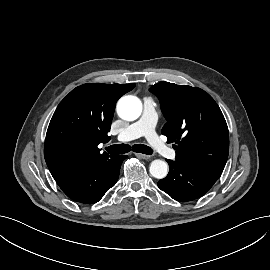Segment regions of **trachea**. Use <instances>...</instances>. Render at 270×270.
Returning <instances> with one entry per match:
<instances>
[{
  "label": "trachea",
  "mask_w": 270,
  "mask_h": 270,
  "mask_svg": "<svg viewBox=\"0 0 270 270\" xmlns=\"http://www.w3.org/2000/svg\"><path fill=\"white\" fill-rule=\"evenodd\" d=\"M133 150L134 152L137 153H143L147 155H151L153 153L152 149L146 145L142 144H135L132 147L128 144H116L112 145L106 148V150L111 154V155H116V154H124L129 152L130 150Z\"/></svg>",
  "instance_id": "1"
}]
</instances>
